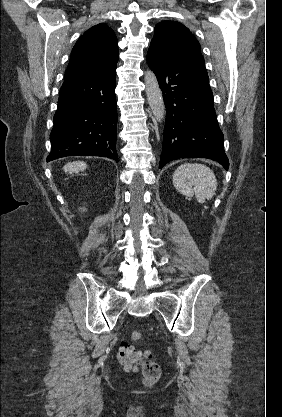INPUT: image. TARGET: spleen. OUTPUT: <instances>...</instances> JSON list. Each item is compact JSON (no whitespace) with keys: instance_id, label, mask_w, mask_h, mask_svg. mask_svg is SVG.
I'll list each match as a JSON object with an SVG mask.
<instances>
[{"instance_id":"1","label":"spleen","mask_w":282,"mask_h":417,"mask_svg":"<svg viewBox=\"0 0 282 417\" xmlns=\"http://www.w3.org/2000/svg\"><path fill=\"white\" fill-rule=\"evenodd\" d=\"M175 188L190 198L196 194L198 202H205L206 198H212L217 188L216 176L206 164L199 162H184L173 172Z\"/></svg>"}]
</instances>
